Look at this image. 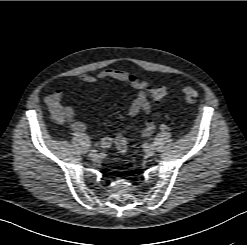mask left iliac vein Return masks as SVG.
Instances as JSON below:
<instances>
[{"instance_id":"1","label":"left iliac vein","mask_w":247,"mask_h":245,"mask_svg":"<svg viewBox=\"0 0 247 245\" xmlns=\"http://www.w3.org/2000/svg\"><path fill=\"white\" fill-rule=\"evenodd\" d=\"M145 154L147 157H151L155 154V147L154 145H149L146 150H145Z\"/></svg>"}]
</instances>
